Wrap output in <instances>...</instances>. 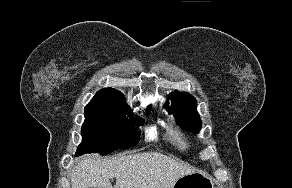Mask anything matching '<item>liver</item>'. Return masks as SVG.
<instances>
[{
	"label": "liver",
	"instance_id": "liver-1",
	"mask_svg": "<svg viewBox=\"0 0 292 188\" xmlns=\"http://www.w3.org/2000/svg\"><path fill=\"white\" fill-rule=\"evenodd\" d=\"M162 153L144 152L115 159L83 156L72 170V188H172L182 176L195 172ZM116 178L112 187L110 179Z\"/></svg>",
	"mask_w": 292,
	"mask_h": 188
}]
</instances>
